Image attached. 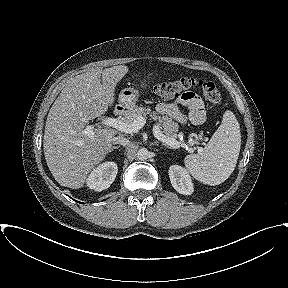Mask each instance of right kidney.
I'll use <instances>...</instances> for the list:
<instances>
[{
    "label": "right kidney",
    "mask_w": 288,
    "mask_h": 288,
    "mask_svg": "<svg viewBox=\"0 0 288 288\" xmlns=\"http://www.w3.org/2000/svg\"><path fill=\"white\" fill-rule=\"evenodd\" d=\"M118 172L115 162H105L95 168L87 178V186L95 191H102L110 187Z\"/></svg>",
    "instance_id": "obj_1"
}]
</instances>
